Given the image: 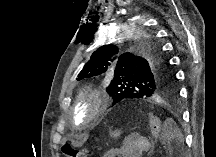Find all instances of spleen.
<instances>
[{"label": "spleen", "mask_w": 216, "mask_h": 157, "mask_svg": "<svg viewBox=\"0 0 216 157\" xmlns=\"http://www.w3.org/2000/svg\"><path fill=\"white\" fill-rule=\"evenodd\" d=\"M160 140L169 152H172L175 148L183 149L184 147L182 132L174 124L173 119H167L164 122V128Z\"/></svg>", "instance_id": "obj_1"}]
</instances>
